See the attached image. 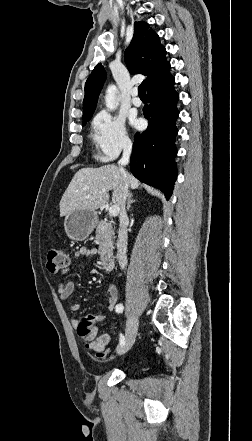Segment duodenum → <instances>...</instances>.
Instances as JSON below:
<instances>
[{
  "instance_id": "410a0bca",
  "label": "duodenum",
  "mask_w": 252,
  "mask_h": 441,
  "mask_svg": "<svg viewBox=\"0 0 252 441\" xmlns=\"http://www.w3.org/2000/svg\"><path fill=\"white\" fill-rule=\"evenodd\" d=\"M102 268L107 272L114 268V260L110 255L105 254L102 256Z\"/></svg>"
}]
</instances>
